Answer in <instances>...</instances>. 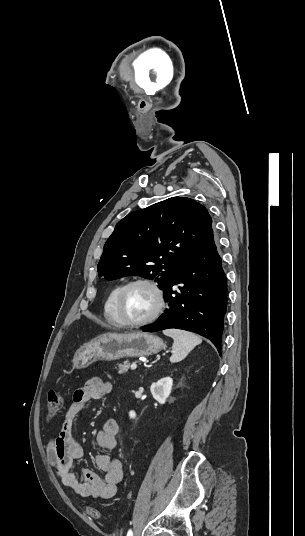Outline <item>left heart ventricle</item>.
Returning a JSON list of instances; mask_svg holds the SVG:
<instances>
[{"mask_svg":"<svg viewBox=\"0 0 305 536\" xmlns=\"http://www.w3.org/2000/svg\"><path fill=\"white\" fill-rule=\"evenodd\" d=\"M157 299L154 291L146 285L131 286L123 298V315L127 321H139L154 311Z\"/></svg>","mask_w":305,"mask_h":536,"instance_id":"b2bd125f","label":"left heart ventricle"}]
</instances>
